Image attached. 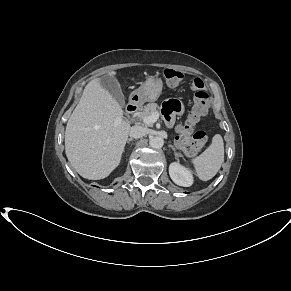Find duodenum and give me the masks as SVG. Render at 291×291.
I'll return each instance as SVG.
<instances>
[{
  "label": "duodenum",
  "instance_id": "410a0bca",
  "mask_svg": "<svg viewBox=\"0 0 291 291\" xmlns=\"http://www.w3.org/2000/svg\"><path fill=\"white\" fill-rule=\"evenodd\" d=\"M138 107L136 105V103L134 102H130L127 104V111L129 113H135L137 111Z\"/></svg>",
  "mask_w": 291,
  "mask_h": 291
}]
</instances>
